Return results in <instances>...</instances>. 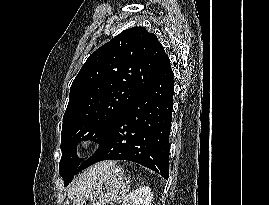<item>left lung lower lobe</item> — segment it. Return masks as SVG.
I'll use <instances>...</instances> for the list:
<instances>
[{"mask_svg": "<svg viewBox=\"0 0 269 205\" xmlns=\"http://www.w3.org/2000/svg\"><path fill=\"white\" fill-rule=\"evenodd\" d=\"M168 59L147 88L116 118L97 152L75 174L102 160H129L169 176L174 81ZM75 176V175H74Z\"/></svg>", "mask_w": 269, "mask_h": 205, "instance_id": "left-lung-lower-lobe-1", "label": "left lung lower lobe"}]
</instances>
